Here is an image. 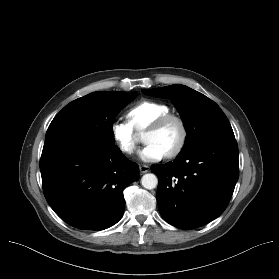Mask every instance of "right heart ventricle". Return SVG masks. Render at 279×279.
Wrapping results in <instances>:
<instances>
[{"label": "right heart ventricle", "mask_w": 279, "mask_h": 279, "mask_svg": "<svg viewBox=\"0 0 279 279\" xmlns=\"http://www.w3.org/2000/svg\"><path fill=\"white\" fill-rule=\"evenodd\" d=\"M169 112V107L163 103L143 100L136 103L128 110L127 118L129 125L134 130L138 131L148 128L155 119Z\"/></svg>", "instance_id": "right-heart-ventricle-1"}]
</instances>
